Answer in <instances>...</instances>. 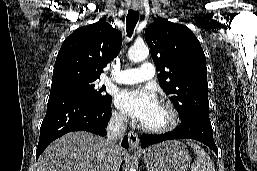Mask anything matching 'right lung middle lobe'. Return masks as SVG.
I'll return each mask as SVG.
<instances>
[{
  "instance_id": "dd1d6c3e",
  "label": "right lung middle lobe",
  "mask_w": 257,
  "mask_h": 171,
  "mask_svg": "<svg viewBox=\"0 0 257 171\" xmlns=\"http://www.w3.org/2000/svg\"><path fill=\"white\" fill-rule=\"evenodd\" d=\"M103 90L100 89L97 91L95 89V82L70 83L59 88L51 89L49 99L62 96H78L99 104H105L111 100V96L109 94H102Z\"/></svg>"
}]
</instances>
